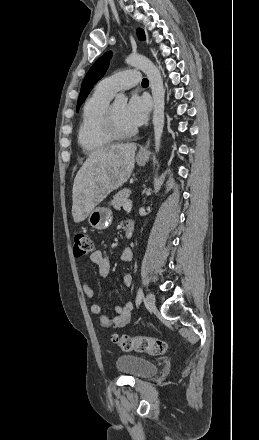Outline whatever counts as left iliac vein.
Instances as JSON below:
<instances>
[{
    "instance_id": "4c4485c4",
    "label": "left iliac vein",
    "mask_w": 259,
    "mask_h": 440,
    "mask_svg": "<svg viewBox=\"0 0 259 440\" xmlns=\"http://www.w3.org/2000/svg\"><path fill=\"white\" fill-rule=\"evenodd\" d=\"M145 301L148 309L153 310L155 308V296L152 293L146 295Z\"/></svg>"
}]
</instances>
